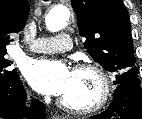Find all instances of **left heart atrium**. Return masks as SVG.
Segmentation results:
<instances>
[{"label":"left heart atrium","instance_id":"left-heart-atrium-1","mask_svg":"<svg viewBox=\"0 0 142 119\" xmlns=\"http://www.w3.org/2000/svg\"><path fill=\"white\" fill-rule=\"evenodd\" d=\"M24 74L36 91L54 96L66 93L72 77V72L64 63L45 59L29 62Z\"/></svg>","mask_w":142,"mask_h":119}]
</instances>
